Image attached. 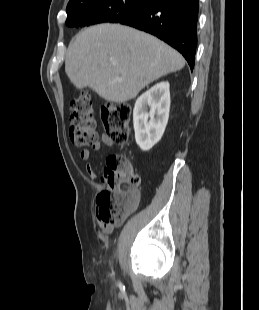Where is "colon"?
Wrapping results in <instances>:
<instances>
[{"instance_id":"obj_1","label":"colon","mask_w":259,"mask_h":310,"mask_svg":"<svg viewBox=\"0 0 259 310\" xmlns=\"http://www.w3.org/2000/svg\"><path fill=\"white\" fill-rule=\"evenodd\" d=\"M70 110L71 141L77 146H96L98 135L90 95L81 93L73 98ZM101 115L107 137L115 143H124L129 135L131 107L123 103L106 104ZM101 180L105 188L96 200L97 218L103 225H119L139 202L140 178L126 156L112 154L106 159Z\"/></svg>"}]
</instances>
